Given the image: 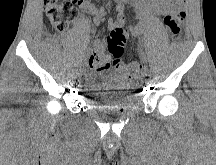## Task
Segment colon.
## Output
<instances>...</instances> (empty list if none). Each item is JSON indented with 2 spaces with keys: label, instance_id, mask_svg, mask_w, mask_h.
I'll return each mask as SVG.
<instances>
[{
  "label": "colon",
  "instance_id": "colon-1",
  "mask_svg": "<svg viewBox=\"0 0 216 165\" xmlns=\"http://www.w3.org/2000/svg\"><path fill=\"white\" fill-rule=\"evenodd\" d=\"M94 0H45V15L51 27L60 34H65L70 25L77 19L81 4L93 3ZM186 14L176 11L164 18L165 26L171 37H177L184 25ZM128 28L117 26L112 28L107 37V51L93 53L90 58V67L98 72H104L114 67L129 75H136L142 70L140 62L125 64L122 61L124 46L127 41Z\"/></svg>",
  "mask_w": 216,
  "mask_h": 165
}]
</instances>
